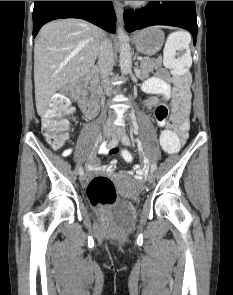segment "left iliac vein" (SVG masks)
<instances>
[{"label": "left iliac vein", "instance_id": "obj_1", "mask_svg": "<svg viewBox=\"0 0 233 295\" xmlns=\"http://www.w3.org/2000/svg\"><path fill=\"white\" fill-rule=\"evenodd\" d=\"M124 136H125V134L122 132H115V133H113L112 138H113V140H116V141H122ZM147 180L150 183H152L154 181V175L152 172L147 175Z\"/></svg>", "mask_w": 233, "mask_h": 295}]
</instances>
